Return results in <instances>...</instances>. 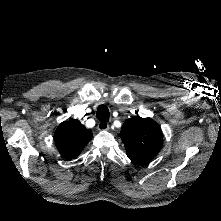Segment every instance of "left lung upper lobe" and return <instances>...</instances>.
<instances>
[{
    "label": "left lung upper lobe",
    "instance_id": "left-lung-upper-lobe-1",
    "mask_svg": "<svg viewBox=\"0 0 221 221\" xmlns=\"http://www.w3.org/2000/svg\"><path fill=\"white\" fill-rule=\"evenodd\" d=\"M120 137L127 156L136 163H147L162 149V130L150 118L127 119L121 128Z\"/></svg>",
    "mask_w": 221,
    "mask_h": 221
}]
</instances>
